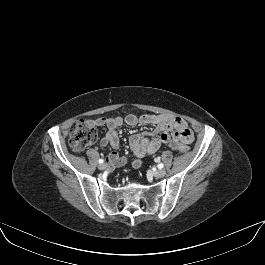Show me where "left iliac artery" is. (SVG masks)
<instances>
[{
    "label": "left iliac artery",
    "mask_w": 265,
    "mask_h": 265,
    "mask_svg": "<svg viewBox=\"0 0 265 265\" xmlns=\"http://www.w3.org/2000/svg\"><path fill=\"white\" fill-rule=\"evenodd\" d=\"M155 161H156V162H160V158H159V157H158V158H155ZM163 167H164V165H163L162 163H159V164H158V168H159V169H162Z\"/></svg>",
    "instance_id": "obj_1"
}]
</instances>
